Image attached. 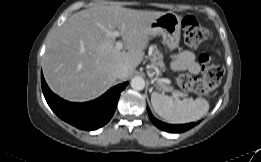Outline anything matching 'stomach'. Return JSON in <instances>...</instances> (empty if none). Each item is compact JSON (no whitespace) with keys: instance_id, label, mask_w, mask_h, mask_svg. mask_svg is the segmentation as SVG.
<instances>
[{"instance_id":"stomach-1","label":"stomach","mask_w":261,"mask_h":162,"mask_svg":"<svg viewBox=\"0 0 261 162\" xmlns=\"http://www.w3.org/2000/svg\"><path fill=\"white\" fill-rule=\"evenodd\" d=\"M150 35H161L169 50L178 47L180 41L181 18L173 12H166L156 17L149 24Z\"/></svg>"}]
</instances>
